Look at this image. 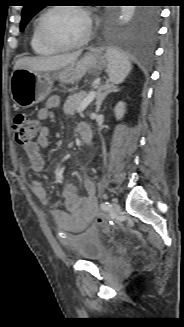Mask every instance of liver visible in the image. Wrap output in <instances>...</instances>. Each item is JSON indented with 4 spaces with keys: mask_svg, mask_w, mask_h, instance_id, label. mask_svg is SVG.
Segmentation results:
<instances>
[{
    "mask_svg": "<svg viewBox=\"0 0 184 327\" xmlns=\"http://www.w3.org/2000/svg\"><path fill=\"white\" fill-rule=\"evenodd\" d=\"M80 54L81 51L51 57H24L15 63L14 70L24 68L38 72L56 71L74 63Z\"/></svg>",
    "mask_w": 184,
    "mask_h": 327,
    "instance_id": "1",
    "label": "liver"
}]
</instances>
